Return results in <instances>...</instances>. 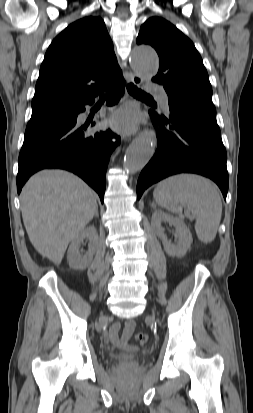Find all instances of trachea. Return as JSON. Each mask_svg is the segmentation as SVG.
Instances as JSON below:
<instances>
[{"mask_svg": "<svg viewBox=\"0 0 253 413\" xmlns=\"http://www.w3.org/2000/svg\"><path fill=\"white\" fill-rule=\"evenodd\" d=\"M127 90L128 92L133 95V96H140V97H148V98H152L149 94L145 93L144 91H142L141 89L137 88L135 85H133L132 83L127 85ZM102 98V96L100 97Z\"/></svg>", "mask_w": 253, "mask_h": 413, "instance_id": "3493384b", "label": "trachea"}]
</instances>
